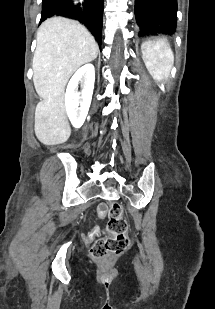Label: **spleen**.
Returning <instances> with one entry per match:
<instances>
[{
  "mask_svg": "<svg viewBox=\"0 0 215 309\" xmlns=\"http://www.w3.org/2000/svg\"><path fill=\"white\" fill-rule=\"evenodd\" d=\"M142 58L155 80L168 78L170 68L174 64V54L169 42L165 40L143 42Z\"/></svg>",
  "mask_w": 215,
  "mask_h": 309,
  "instance_id": "1",
  "label": "spleen"
}]
</instances>
